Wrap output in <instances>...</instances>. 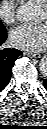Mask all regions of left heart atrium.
<instances>
[{"mask_svg":"<svg viewBox=\"0 0 47 129\" xmlns=\"http://www.w3.org/2000/svg\"><path fill=\"white\" fill-rule=\"evenodd\" d=\"M11 42L18 48L40 51L46 45L47 27L42 23H26L11 32Z\"/></svg>","mask_w":47,"mask_h":129,"instance_id":"1","label":"left heart atrium"}]
</instances>
